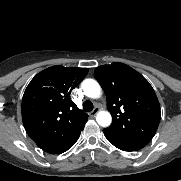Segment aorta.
<instances>
[{
	"label": "aorta",
	"mask_w": 181,
	"mask_h": 181,
	"mask_svg": "<svg viewBox=\"0 0 181 181\" xmlns=\"http://www.w3.org/2000/svg\"><path fill=\"white\" fill-rule=\"evenodd\" d=\"M84 94L89 98H99L101 95V87L97 81L86 79L81 85ZM97 123L102 127H107L111 124L112 117L108 111H100L96 116Z\"/></svg>",
	"instance_id": "1"
}]
</instances>
